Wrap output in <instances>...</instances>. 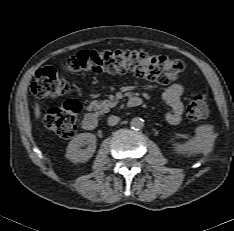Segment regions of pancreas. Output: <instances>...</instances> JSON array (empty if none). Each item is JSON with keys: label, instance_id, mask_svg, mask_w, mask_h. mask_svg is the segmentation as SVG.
<instances>
[{"label": "pancreas", "instance_id": "pancreas-1", "mask_svg": "<svg viewBox=\"0 0 234 231\" xmlns=\"http://www.w3.org/2000/svg\"><path fill=\"white\" fill-rule=\"evenodd\" d=\"M118 102H112L109 100H104L102 102H98L97 100H94L90 103L89 107L90 109L98 111L100 114L107 113L110 111V108L116 106Z\"/></svg>", "mask_w": 234, "mask_h": 231}]
</instances>
